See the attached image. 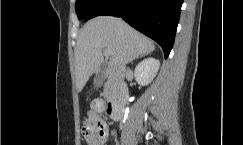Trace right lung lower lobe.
<instances>
[{"instance_id":"obj_1","label":"right lung lower lobe","mask_w":243,"mask_h":145,"mask_svg":"<svg viewBox=\"0 0 243 145\" xmlns=\"http://www.w3.org/2000/svg\"><path fill=\"white\" fill-rule=\"evenodd\" d=\"M183 0H100L84 21L100 15L121 17L155 40L168 57L175 40Z\"/></svg>"}]
</instances>
